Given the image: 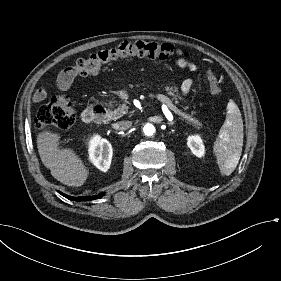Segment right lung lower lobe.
I'll list each match as a JSON object with an SVG mask.
<instances>
[{"mask_svg": "<svg viewBox=\"0 0 281 281\" xmlns=\"http://www.w3.org/2000/svg\"><path fill=\"white\" fill-rule=\"evenodd\" d=\"M59 193L61 195H63L64 197H66L67 199H70V200H73V201H87V200H94V199H98V198H101L104 194L101 193L99 195H95V196H83V197H72V196H69V195H66L62 192L59 191Z\"/></svg>", "mask_w": 281, "mask_h": 281, "instance_id": "1", "label": "right lung lower lobe"}]
</instances>
